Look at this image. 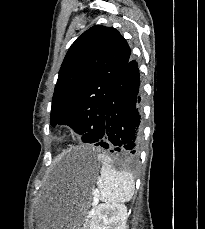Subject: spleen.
I'll list each match as a JSON object with an SVG mask.
<instances>
[{"label":"spleen","mask_w":205,"mask_h":229,"mask_svg":"<svg viewBox=\"0 0 205 229\" xmlns=\"http://www.w3.org/2000/svg\"><path fill=\"white\" fill-rule=\"evenodd\" d=\"M102 164L100 176L97 179L98 189L94 196L107 203H124L129 201L133 194L135 183L131 174L118 172L110 164V159L100 154Z\"/></svg>","instance_id":"3e777b00"}]
</instances>
